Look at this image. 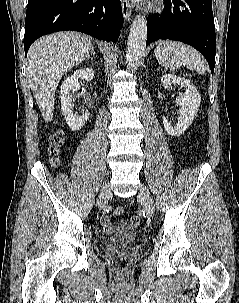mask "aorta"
Listing matches in <instances>:
<instances>
[{
  "label": "aorta",
  "instance_id": "obj_1",
  "mask_svg": "<svg viewBox=\"0 0 239 303\" xmlns=\"http://www.w3.org/2000/svg\"><path fill=\"white\" fill-rule=\"evenodd\" d=\"M147 38V20L142 15H137L131 25L126 59L129 68H135L143 56Z\"/></svg>",
  "mask_w": 239,
  "mask_h": 303
}]
</instances>
